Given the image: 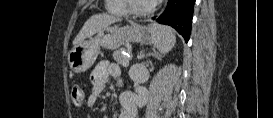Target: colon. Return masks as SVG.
Returning a JSON list of instances; mask_svg holds the SVG:
<instances>
[{
	"mask_svg": "<svg viewBox=\"0 0 273 118\" xmlns=\"http://www.w3.org/2000/svg\"><path fill=\"white\" fill-rule=\"evenodd\" d=\"M71 101L76 107H80L84 103V91L79 84H74L71 88Z\"/></svg>",
	"mask_w": 273,
	"mask_h": 118,
	"instance_id": "colon-1",
	"label": "colon"
}]
</instances>
